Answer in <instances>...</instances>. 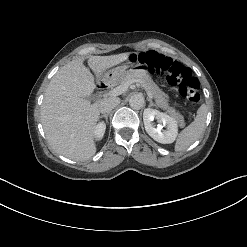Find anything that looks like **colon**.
<instances>
[{
    "label": "colon",
    "instance_id": "colon-1",
    "mask_svg": "<svg viewBox=\"0 0 247 247\" xmlns=\"http://www.w3.org/2000/svg\"><path fill=\"white\" fill-rule=\"evenodd\" d=\"M132 61L147 65L157 73L165 75L170 85L177 86L180 94L192 105H197L200 101V83L193 76L191 70L181 65L170 57L159 54L155 51H148L135 55Z\"/></svg>",
    "mask_w": 247,
    "mask_h": 247
}]
</instances>
